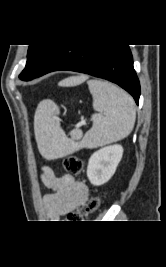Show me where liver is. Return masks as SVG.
<instances>
[{"label": "liver", "mask_w": 166, "mask_h": 267, "mask_svg": "<svg viewBox=\"0 0 166 267\" xmlns=\"http://www.w3.org/2000/svg\"><path fill=\"white\" fill-rule=\"evenodd\" d=\"M87 79L86 76L81 75V76H74V77H69L59 83L60 86L63 87H71V86H76L81 83H83Z\"/></svg>", "instance_id": "liver-1"}]
</instances>
